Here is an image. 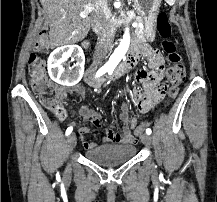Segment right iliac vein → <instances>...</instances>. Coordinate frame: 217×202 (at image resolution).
Masks as SVG:
<instances>
[{"label": "right iliac vein", "instance_id": "1", "mask_svg": "<svg viewBox=\"0 0 217 202\" xmlns=\"http://www.w3.org/2000/svg\"><path fill=\"white\" fill-rule=\"evenodd\" d=\"M77 140L75 134L69 135L67 139V150L70 153L76 146Z\"/></svg>", "mask_w": 217, "mask_h": 202}]
</instances>
